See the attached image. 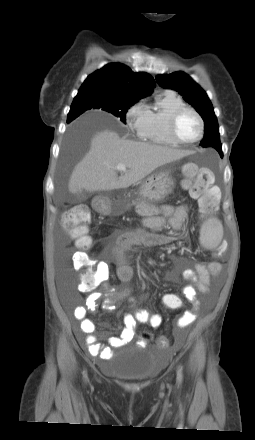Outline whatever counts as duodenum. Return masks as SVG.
I'll use <instances>...</instances> for the list:
<instances>
[{
    "instance_id": "1",
    "label": "duodenum",
    "mask_w": 255,
    "mask_h": 440,
    "mask_svg": "<svg viewBox=\"0 0 255 440\" xmlns=\"http://www.w3.org/2000/svg\"><path fill=\"white\" fill-rule=\"evenodd\" d=\"M97 207H98V209H99L100 211H104V210H105L104 205H102V204H100V203L97 205Z\"/></svg>"
}]
</instances>
